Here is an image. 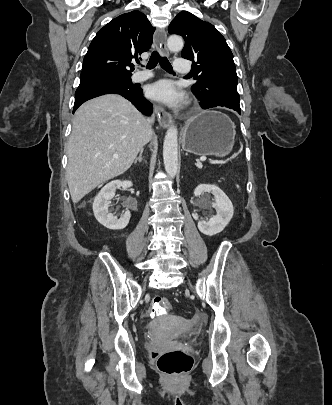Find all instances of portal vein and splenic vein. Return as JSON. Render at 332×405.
<instances>
[{"label": "portal vein and splenic vein", "mask_w": 332, "mask_h": 405, "mask_svg": "<svg viewBox=\"0 0 332 405\" xmlns=\"http://www.w3.org/2000/svg\"><path fill=\"white\" fill-rule=\"evenodd\" d=\"M205 160H206V157L200 158V160L197 161L196 166H197L198 168H201V167H202V161H205ZM212 163L215 164L216 162H212Z\"/></svg>", "instance_id": "18ae733b"}]
</instances>
